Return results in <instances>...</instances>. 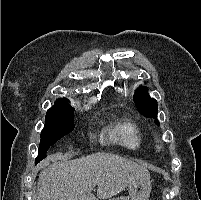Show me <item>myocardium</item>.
<instances>
[{
  "mask_svg": "<svg viewBox=\"0 0 201 200\" xmlns=\"http://www.w3.org/2000/svg\"><path fill=\"white\" fill-rule=\"evenodd\" d=\"M158 149L161 150V146H159Z\"/></svg>",
  "mask_w": 201,
  "mask_h": 200,
  "instance_id": "myocardium-1",
  "label": "myocardium"
}]
</instances>
